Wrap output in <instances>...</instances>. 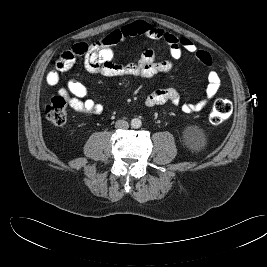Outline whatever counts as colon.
<instances>
[{"label":"colon","instance_id":"colon-1","mask_svg":"<svg viewBox=\"0 0 267 267\" xmlns=\"http://www.w3.org/2000/svg\"><path fill=\"white\" fill-rule=\"evenodd\" d=\"M233 106L226 98L217 99L211 109L209 120L211 124L218 125L226 121L232 114ZM68 107L66 100L55 96L45 108L46 118L56 126H63L67 121Z\"/></svg>","mask_w":267,"mask_h":267}]
</instances>
